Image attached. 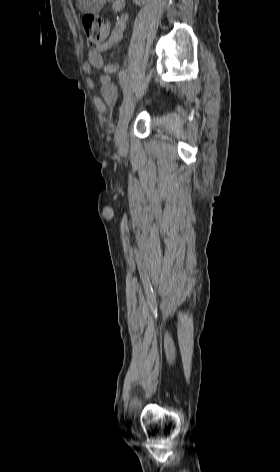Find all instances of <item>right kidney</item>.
Wrapping results in <instances>:
<instances>
[{
    "label": "right kidney",
    "mask_w": 280,
    "mask_h": 472,
    "mask_svg": "<svg viewBox=\"0 0 280 472\" xmlns=\"http://www.w3.org/2000/svg\"><path fill=\"white\" fill-rule=\"evenodd\" d=\"M141 1H143V0H135L136 4H138V5L141 3Z\"/></svg>",
    "instance_id": "ca27d5eb"
}]
</instances>
